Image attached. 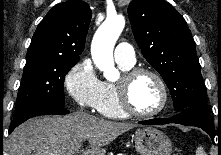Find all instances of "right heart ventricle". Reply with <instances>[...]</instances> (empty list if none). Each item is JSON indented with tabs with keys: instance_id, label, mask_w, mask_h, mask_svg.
<instances>
[{
	"instance_id": "1",
	"label": "right heart ventricle",
	"mask_w": 221,
	"mask_h": 155,
	"mask_svg": "<svg viewBox=\"0 0 221 155\" xmlns=\"http://www.w3.org/2000/svg\"><path fill=\"white\" fill-rule=\"evenodd\" d=\"M118 65L125 72L133 67V65H126L122 63H118ZM96 109L100 114L109 118L122 119L128 116L119 104L116 83L111 81H102L101 96Z\"/></svg>"
}]
</instances>
